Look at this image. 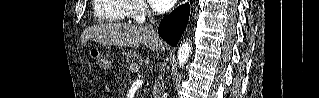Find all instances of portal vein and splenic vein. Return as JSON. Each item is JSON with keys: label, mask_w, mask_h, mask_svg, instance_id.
<instances>
[{"label": "portal vein and splenic vein", "mask_w": 319, "mask_h": 98, "mask_svg": "<svg viewBox=\"0 0 319 98\" xmlns=\"http://www.w3.org/2000/svg\"><path fill=\"white\" fill-rule=\"evenodd\" d=\"M139 68H140V67H139L138 64H134V63H133V64L130 65V70L133 71V72L139 71Z\"/></svg>", "instance_id": "1"}]
</instances>
